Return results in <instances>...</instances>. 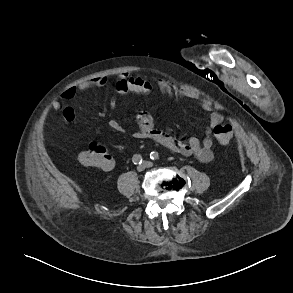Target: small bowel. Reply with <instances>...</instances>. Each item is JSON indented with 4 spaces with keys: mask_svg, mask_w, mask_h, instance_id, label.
I'll return each mask as SVG.
<instances>
[{
    "mask_svg": "<svg viewBox=\"0 0 293 293\" xmlns=\"http://www.w3.org/2000/svg\"><path fill=\"white\" fill-rule=\"evenodd\" d=\"M106 81V78L98 77L79 85L71 86L62 93L61 99L63 101L72 100L81 91L89 88L104 87L106 85ZM156 83L163 93L177 98L186 97L196 99V96L192 92L178 88L163 78L156 79ZM115 89L120 95H124L129 92L148 94L153 90L151 84L146 79L141 77H130L127 73L120 75L116 82ZM115 104L116 100H111L110 108H113ZM201 105L205 111L209 112V125L202 140H199L196 137H191L184 141L177 140L167 131L158 129L154 124L153 117L147 112H142L136 116L134 122V137L141 140L154 141L172 153L184 156H193L203 163L211 162L214 158L212 130L223 121V116L218 112L212 111L208 104L202 103ZM53 108L61 111L65 120L69 122L74 120L75 113L73 108L64 106L62 101H55L53 103ZM107 125L115 132H124L123 125L115 119H109L107 121ZM113 168L114 161L111 159L110 166L103 170L110 171Z\"/></svg>",
    "mask_w": 293,
    "mask_h": 293,
    "instance_id": "1",
    "label": "small bowel"
}]
</instances>
